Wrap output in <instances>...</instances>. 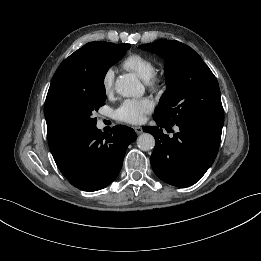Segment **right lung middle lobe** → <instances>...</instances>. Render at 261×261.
Listing matches in <instances>:
<instances>
[{
	"instance_id": "1",
	"label": "right lung middle lobe",
	"mask_w": 261,
	"mask_h": 261,
	"mask_svg": "<svg viewBox=\"0 0 261 261\" xmlns=\"http://www.w3.org/2000/svg\"><path fill=\"white\" fill-rule=\"evenodd\" d=\"M130 44H114L97 53L90 67L91 86L85 91L58 99L46 117L48 142L52 153H59L78 137L96 127L92 114L106 100L104 77L130 48Z\"/></svg>"
}]
</instances>
